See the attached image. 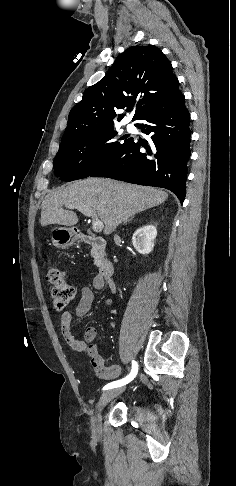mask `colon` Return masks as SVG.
Segmentation results:
<instances>
[{"label": "colon", "instance_id": "1", "mask_svg": "<svg viewBox=\"0 0 236 486\" xmlns=\"http://www.w3.org/2000/svg\"><path fill=\"white\" fill-rule=\"evenodd\" d=\"M46 279L51 285V297L54 307L57 310H63L71 303L75 290L65 282V274L62 270L50 266L48 268Z\"/></svg>", "mask_w": 236, "mask_h": 486}]
</instances>
